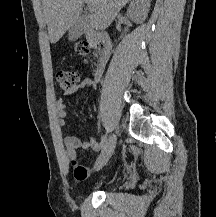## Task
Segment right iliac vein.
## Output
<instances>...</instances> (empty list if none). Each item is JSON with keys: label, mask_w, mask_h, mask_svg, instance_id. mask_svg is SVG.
<instances>
[{"label": "right iliac vein", "mask_w": 216, "mask_h": 217, "mask_svg": "<svg viewBox=\"0 0 216 217\" xmlns=\"http://www.w3.org/2000/svg\"><path fill=\"white\" fill-rule=\"evenodd\" d=\"M116 139L117 138L115 134L110 136V138L108 139L104 149L102 150L101 154L99 155V157L95 162L94 169L96 171L102 169L106 165L110 157L112 156L116 145Z\"/></svg>", "instance_id": "63e3f726"}]
</instances>
